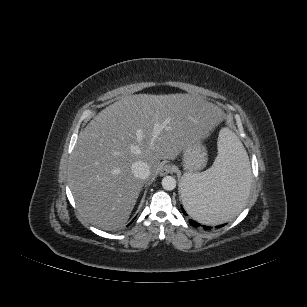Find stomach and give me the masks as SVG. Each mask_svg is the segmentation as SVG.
<instances>
[{"mask_svg":"<svg viewBox=\"0 0 307 307\" xmlns=\"http://www.w3.org/2000/svg\"><path fill=\"white\" fill-rule=\"evenodd\" d=\"M184 167L190 171L203 168L207 162V153L201 141L190 139L182 149Z\"/></svg>","mask_w":307,"mask_h":307,"instance_id":"obj_1","label":"stomach"}]
</instances>
